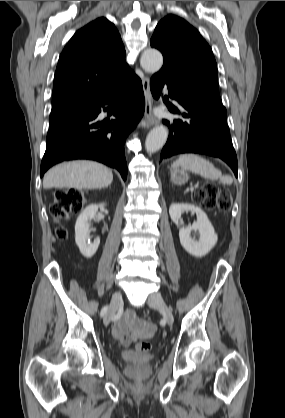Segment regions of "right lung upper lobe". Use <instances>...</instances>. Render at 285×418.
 <instances>
[{
	"mask_svg": "<svg viewBox=\"0 0 285 418\" xmlns=\"http://www.w3.org/2000/svg\"><path fill=\"white\" fill-rule=\"evenodd\" d=\"M133 73L114 24L98 18L78 30L63 49L54 76L52 108L89 105L123 88Z\"/></svg>",
	"mask_w": 285,
	"mask_h": 418,
	"instance_id": "obj_1",
	"label": "right lung upper lobe"
}]
</instances>
